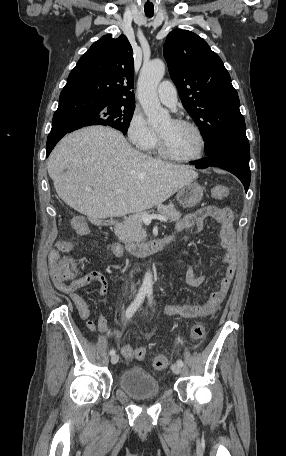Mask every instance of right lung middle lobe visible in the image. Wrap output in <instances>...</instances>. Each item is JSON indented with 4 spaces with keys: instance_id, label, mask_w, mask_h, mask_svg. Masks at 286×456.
Here are the masks:
<instances>
[{
    "instance_id": "right-lung-middle-lobe-1",
    "label": "right lung middle lobe",
    "mask_w": 286,
    "mask_h": 456,
    "mask_svg": "<svg viewBox=\"0 0 286 456\" xmlns=\"http://www.w3.org/2000/svg\"><path fill=\"white\" fill-rule=\"evenodd\" d=\"M135 104L112 102L96 96H86L78 108V120L75 129L89 125H105L127 133Z\"/></svg>"
}]
</instances>
